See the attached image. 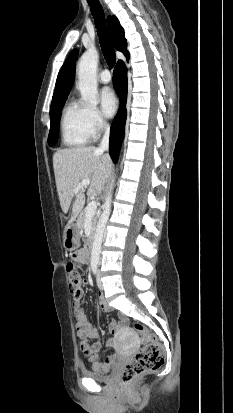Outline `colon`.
<instances>
[{
    "instance_id": "5ec220e1",
    "label": "colon",
    "mask_w": 233,
    "mask_h": 413,
    "mask_svg": "<svg viewBox=\"0 0 233 413\" xmlns=\"http://www.w3.org/2000/svg\"><path fill=\"white\" fill-rule=\"evenodd\" d=\"M67 271L69 287L73 293L82 284V273L79 267L73 265V262L68 264ZM134 330L142 337L144 345L123 368L120 375L123 383H130L138 376L158 369L164 363V348L157 341L155 335L141 324H135ZM106 370L102 369L100 372L104 373Z\"/></svg>"
}]
</instances>
